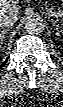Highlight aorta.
Wrapping results in <instances>:
<instances>
[{
  "label": "aorta",
  "mask_w": 63,
  "mask_h": 107,
  "mask_svg": "<svg viewBox=\"0 0 63 107\" xmlns=\"http://www.w3.org/2000/svg\"><path fill=\"white\" fill-rule=\"evenodd\" d=\"M24 28L28 34H39L44 30V24L40 18L30 17L27 19Z\"/></svg>",
  "instance_id": "obj_1"
}]
</instances>
